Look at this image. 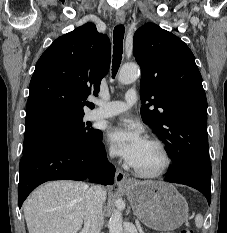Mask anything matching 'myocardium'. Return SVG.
<instances>
[{
  "label": "myocardium",
  "mask_w": 227,
  "mask_h": 233,
  "mask_svg": "<svg viewBox=\"0 0 227 233\" xmlns=\"http://www.w3.org/2000/svg\"><path fill=\"white\" fill-rule=\"evenodd\" d=\"M148 143H151L153 145H155L161 152L164 162L162 164V166L155 170V171H145V170H141L137 167H135L134 165H130L132 171L139 177L142 178H158L163 176L164 174H166L171 165H172V157L171 154L169 152V149L167 148V146L165 145V143L163 141H161L160 139L157 138H150L147 140Z\"/></svg>",
  "instance_id": "myocardium-1"
}]
</instances>
